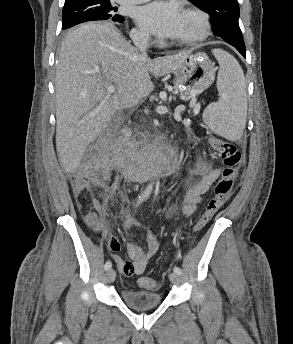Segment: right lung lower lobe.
I'll list each match as a JSON object with an SVG mask.
<instances>
[{
  "label": "right lung lower lobe",
  "instance_id": "1",
  "mask_svg": "<svg viewBox=\"0 0 293 344\" xmlns=\"http://www.w3.org/2000/svg\"><path fill=\"white\" fill-rule=\"evenodd\" d=\"M112 21H115V22H119V23H121V22H123V21H124V18L122 17L121 19H118V20H112Z\"/></svg>",
  "mask_w": 293,
  "mask_h": 344
}]
</instances>
